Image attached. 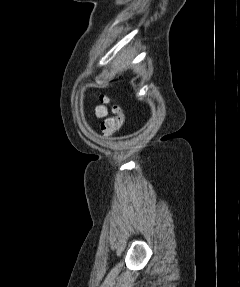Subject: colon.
Listing matches in <instances>:
<instances>
[{
    "label": "colon",
    "instance_id": "obj_1",
    "mask_svg": "<svg viewBox=\"0 0 240 287\" xmlns=\"http://www.w3.org/2000/svg\"><path fill=\"white\" fill-rule=\"evenodd\" d=\"M102 101L111 106L113 116L107 118L101 123V130L105 135H111L116 132L123 124L124 113L120 105L111 103L110 99L106 96L102 97Z\"/></svg>",
    "mask_w": 240,
    "mask_h": 287
}]
</instances>
